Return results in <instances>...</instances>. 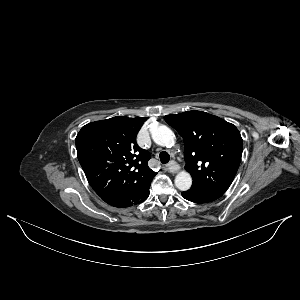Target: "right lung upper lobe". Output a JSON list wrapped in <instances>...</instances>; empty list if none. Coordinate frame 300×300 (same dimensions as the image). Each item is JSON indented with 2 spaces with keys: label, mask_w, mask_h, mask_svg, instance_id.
Returning <instances> with one entry per match:
<instances>
[{
  "label": "right lung upper lobe",
  "mask_w": 300,
  "mask_h": 300,
  "mask_svg": "<svg viewBox=\"0 0 300 300\" xmlns=\"http://www.w3.org/2000/svg\"><path fill=\"white\" fill-rule=\"evenodd\" d=\"M146 117H113L88 123L76 137L79 162L94 191L102 198L143 189L156 172L148 167L150 153L136 143Z\"/></svg>",
  "instance_id": "right-lung-upper-lobe-1"
}]
</instances>
